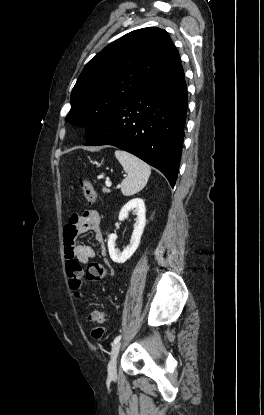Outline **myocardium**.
<instances>
[{
	"label": "myocardium",
	"instance_id": "myocardium-1",
	"mask_svg": "<svg viewBox=\"0 0 264 415\" xmlns=\"http://www.w3.org/2000/svg\"><path fill=\"white\" fill-rule=\"evenodd\" d=\"M93 119L91 117H87L82 121L83 126H89L92 123Z\"/></svg>",
	"mask_w": 264,
	"mask_h": 415
}]
</instances>
